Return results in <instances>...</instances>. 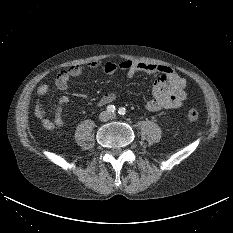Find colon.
<instances>
[{"label":"colon","mask_w":233,"mask_h":233,"mask_svg":"<svg viewBox=\"0 0 233 233\" xmlns=\"http://www.w3.org/2000/svg\"><path fill=\"white\" fill-rule=\"evenodd\" d=\"M187 117L190 121H197L199 119V113L196 109L194 108H190L188 111H187Z\"/></svg>","instance_id":"colon-1"}]
</instances>
